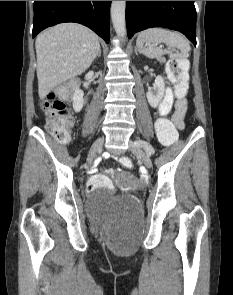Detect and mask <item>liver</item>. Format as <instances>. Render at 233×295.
<instances>
[{
	"label": "liver",
	"instance_id": "6515ba94",
	"mask_svg": "<svg viewBox=\"0 0 233 295\" xmlns=\"http://www.w3.org/2000/svg\"><path fill=\"white\" fill-rule=\"evenodd\" d=\"M35 48L38 94L43 99L56 86L85 72L96 58L100 43L89 28L63 23L41 32Z\"/></svg>",
	"mask_w": 233,
	"mask_h": 295
}]
</instances>
